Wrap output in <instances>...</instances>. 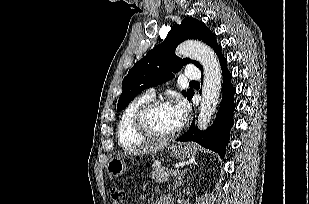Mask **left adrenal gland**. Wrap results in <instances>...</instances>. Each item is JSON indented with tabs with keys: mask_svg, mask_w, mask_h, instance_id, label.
<instances>
[{
	"mask_svg": "<svg viewBox=\"0 0 309 204\" xmlns=\"http://www.w3.org/2000/svg\"><path fill=\"white\" fill-rule=\"evenodd\" d=\"M188 169H184L181 173H179L175 180V186L180 187L183 184L184 175L187 173Z\"/></svg>",
	"mask_w": 309,
	"mask_h": 204,
	"instance_id": "1",
	"label": "left adrenal gland"
}]
</instances>
